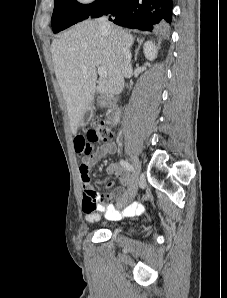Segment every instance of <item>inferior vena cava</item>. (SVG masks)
<instances>
[{
  "label": "inferior vena cava",
  "mask_w": 227,
  "mask_h": 298,
  "mask_svg": "<svg viewBox=\"0 0 227 298\" xmlns=\"http://www.w3.org/2000/svg\"><path fill=\"white\" fill-rule=\"evenodd\" d=\"M100 29L104 33H114L113 27L108 22V17L103 16L98 19ZM118 54L120 58V68L123 74H126L132 70L131 65V53L124 44H120L118 47Z\"/></svg>",
  "instance_id": "obj_1"
}]
</instances>
